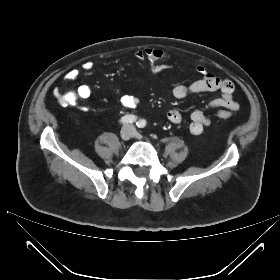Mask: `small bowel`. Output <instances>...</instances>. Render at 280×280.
Segmentation results:
<instances>
[{
    "label": "small bowel",
    "mask_w": 280,
    "mask_h": 280,
    "mask_svg": "<svg viewBox=\"0 0 280 280\" xmlns=\"http://www.w3.org/2000/svg\"><path fill=\"white\" fill-rule=\"evenodd\" d=\"M135 57L141 61H148L150 65V73L158 74L171 67L165 62L166 55L158 48L138 49L134 53ZM94 67L92 61H86L81 68L84 72H90ZM197 72L203 77L190 84H178L173 88L174 97L181 99L189 94H198L206 92L220 91L221 96L211 100L204 109H196L190 115L189 130L193 135H199L204 128L211 124V119L206 116L205 110L211 108H222L219 113H227L229 117L231 113L239 109V104L233 99L234 83L229 79H222L211 74L204 65H198ZM80 75L77 68L71 69L66 77L70 81H75ZM77 99L86 100L91 96V88L88 85H80L76 91ZM120 105L124 108H134L139 104V99L133 95H122L119 97ZM75 105V103H74ZM167 119L172 123H180L182 121L181 113L176 109H171L166 114Z\"/></svg>",
    "instance_id": "obj_1"
}]
</instances>
